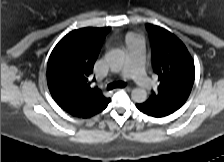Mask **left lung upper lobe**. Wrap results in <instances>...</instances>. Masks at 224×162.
Masks as SVG:
<instances>
[{"mask_svg":"<svg viewBox=\"0 0 224 162\" xmlns=\"http://www.w3.org/2000/svg\"><path fill=\"white\" fill-rule=\"evenodd\" d=\"M146 27L152 46L153 70L160 84L142 105L176 111L190 95L195 77L194 62L175 35L153 24Z\"/></svg>","mask_w":224,"mask_h":162,"instance_id":"left-lung-upper-lobe-1","label":"left lung upper lobe"}]
</instances>
